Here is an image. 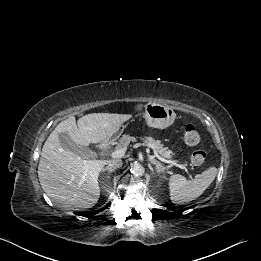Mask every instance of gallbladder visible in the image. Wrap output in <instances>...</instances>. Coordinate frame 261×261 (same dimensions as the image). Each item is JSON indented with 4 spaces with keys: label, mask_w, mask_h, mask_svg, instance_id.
Masks as SVG:
<instances>
[{
    "label": "gallbladder",
    "mask_w": 261,
    "mask_h": 261,
    "mask_svg": "<svg viewBox=\"0 0 261 261\" xmlns=\"http://www.w3.org/2000/svg\"><path fill=\"white\" fill-rule=\"evenodd\" d=\"M59 143L63 149L69 150L83 158L89 157L93 153L91 149L77 145L65 132L59 134Z\"/></svg>",
    "instance_id": "bac80fb5"
}]
</instances>
